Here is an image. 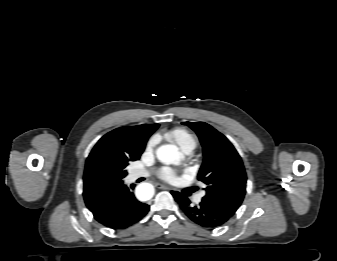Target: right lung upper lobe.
<instances>
[{
    "instance_id": "1",
    "label": "right lung upper lobe",
    "mask_w": 337,
    "mask_h": 261,
    "mask_svg": "<svg viewBox=\"0 0 337 261\" xmlns=\"http://www.w3.org/2000/svg\"><path fill=\"white\" fill-rule=\"evenodd\" d=\"M159 124L117 128L104 135L89 154L83 176V196L93 211L123 181L130 161L140 158L150 135Z\"/></svg>"
}]
</instances>
